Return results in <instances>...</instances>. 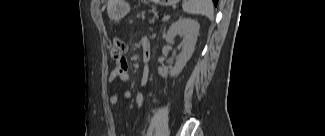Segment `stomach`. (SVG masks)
I'll use <instances>...</instances> for the list:
<instances>
[{
  "label": "stomach",
  "instance_id": "0dacf381",
  "mask_svg": "<svg viewBox=\"0 0 325 136\" xmlns=\"http://www.w3.org/2000/svg\"><path fill=\"white\" fill-rule=\"evenodd\" d=\"M178 0H155V3L162 6H170L176 4ZM129 11V5L124 0H115L112 10L113 19L117 20L124 17Z\"/></svg>",
  "mask_w": 325,
  "mask_h": 136
}]
</instances>
